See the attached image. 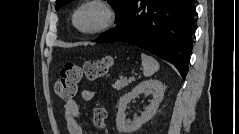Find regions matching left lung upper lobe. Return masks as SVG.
I'll use <instances>...</instances> for the list:
<instances>
[{"label": "left lung upper lobe", "instance_id": "1", "mask_svg": "<svg viewBox=\"0 0 239 134\" xmlns=\"http://www.w3.org/2000/svg\"><path fill=\"white\" fill-rule=\"evenodd\" d=\"M70 1L72 0H56V10L69 3ZM132 1L133 0H108L110 5L116 12L117 23L121 20Z\"/></svg>", "mask_w": 239, "mask_h": 134}]
</instances>
